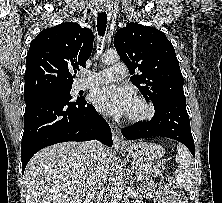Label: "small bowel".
I'll return each instance as SVG.
<instances>
[{
	"label": "small bowel",
	"instance_id": "c3829d8e",
	"mask_svg": "<svg viewBox=\"0 0 222 203\" xmlns=\"http://www.w3.org/2000/svg\"><path fill=\"white\" fill-rule=\"evenodd\" d=\"M148 190L154 192L158 196V203H185L184 196L181 193H176L164 185L155 188L153 185L149 184Z\"/></svg>",
	"mask_w": 222,
	"mask_h": 203
}]
</instances>
